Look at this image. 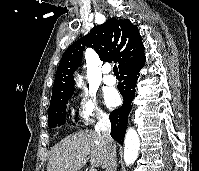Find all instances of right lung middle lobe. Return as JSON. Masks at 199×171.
I'll return each instance as SVG.
<instances>
[{
    "instance_id": "1",
    "label": "right lung middle lobe",
    "mask_w": 199,
    "mask_h": 171,
    "mask_svg": "<svg viewBox=\"0 0 199 171\" xmlns=\"http://www.w3.org/2000/svg\"><path fill=\"white\" fill-rule=\"evenodd\" d=\"M69 98L67 97L50 105L48 114L49 127L52 128L65 124L66 104Z\"/></svg>"
}]
</instances>
